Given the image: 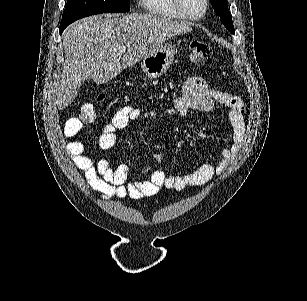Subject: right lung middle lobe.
I'll return each instance as SVG.
<instances>
[{"instance_id":"obj_1","label":"right lung middle lobe","mask_w":307,"mask_h":301,"mask_svg":"<svg viewBox=\"0 0 307 301\" xmlns=\"http://www.w3.org/2000/svg\"><path fill=\"white\" fill-rule=\"evenodd\" d=\"M129 10V0H68L62 15L60 34L69 24L82 17Z\"/></svg>"}]
</instances>
